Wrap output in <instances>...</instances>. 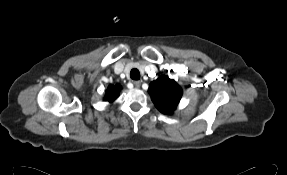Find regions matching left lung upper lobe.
<instances>
[{
    "instance_id": "5c2ea615",
    "label": "left lung upper lobe",
    "mask_w": 287,
    "mask_h": 175,
    "mask_svg": "<svg viewBox=\"0 0 287 175\" xmlns=\"http://www.w3.org/2000/svg\"><path fill=\"white\" fill-rule=\"evenodd\" d=\"M149 94L161 113L171 115L181 99L182 90L174 80L161 75L151 82Z\"/></svg>"
}]
</instances>
